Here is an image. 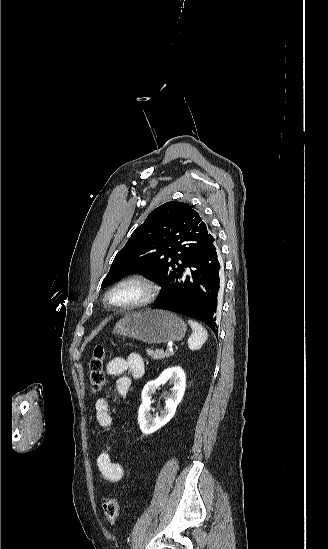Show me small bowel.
Returning <instances> with one entry per match:
<instances>
[{"label":"small bowel","mask_w":328,"mask_h":549,"mask_svg":"<svg viewBox=\"0 0 328 549\" xmlns=\"http://www.w3.org/2000/svg\"><path fill=\"white\" fill-rule=\"evenodd\" d=\"M107 373L117 376L115 390L126 397L133 378H140L144 374L145 364L141 355L131 353L127 357H115L107 364ZM128 372L130 376H125ZM95 417L101 432L108 436L112 427L111 403L107 396L98 398L95 402ZM96 466L101 478L108 482H119L125 476V470L119 463L113 462L109 454V445L105 443L96 458Z\"/></svg>","instance_id":"small-bowel-1"}]
</instances>
